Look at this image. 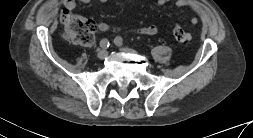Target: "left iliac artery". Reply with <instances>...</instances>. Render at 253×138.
Instances as JSON below:
<instances>
[{"label": "left iliac artery", "mask_w": 253, "mask_h": 138, "mask_svg": "<svg viewBox=\"0 0 253 138\" xmlns=\"http://www.w3.org/2000/svg\"><path fill=\"white\" fill-rule=\"evenodd\" d=\"M114 42H115V44L118 45V46L123 45V39H122V37H120V36H117V37L115 38Z\"/></svg>", "instance_id": "obj_1"}]
</instances>
